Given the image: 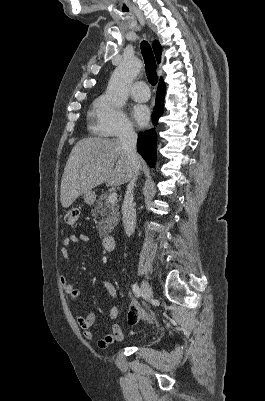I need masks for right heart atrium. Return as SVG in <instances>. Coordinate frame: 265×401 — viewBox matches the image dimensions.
I'll list each match as a JSON object with an SVG mask.
<instances>
[{
	"mask_svg": "<svg viewBox=\"0 0 265 401\" xmlns=\"http://www.w3.org/2000/svg\"><path fill=\"white\" fill-rule=\"evenodd\" d=\"M93 117L96 128L105 135L126 137L134 133V125L125 112L105 96L99 99Z\"/></svg>",
	"mask_w": 265,
	"mask_h": 401,
	"instance_id": "obj_1",
	"label": "right heart atrium"
}]
</instances>
